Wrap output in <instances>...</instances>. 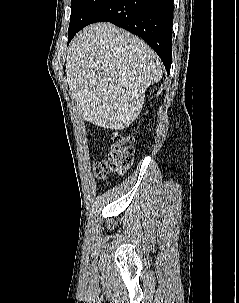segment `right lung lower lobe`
<instances>
[{"label": "right lung lower lobe", "mask_w": 239, "mask_h": 303, "mask_svg": "<svg viewBox=\"0 0 239 303\" xmlns=\"http://www.w3.org/2000/svg\"><path fill=\"white\" fill-rule=\"evenodd\" d=\"M173 10V0H105L90 15L85 26L107 21L138 35L156 51L169 72Z\"/></svg>", "instance_id": "obj_1"}]
</instances>
